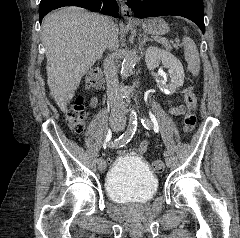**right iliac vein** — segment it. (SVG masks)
Segmentation results:
<instances>
[{
	"instance_id": "63e3f726",
	"label": "right iliac vein",
	"mask_w": 240,
	"mask_h": 238,
	"mask_svg": "<svg viewBox=\"0 0 240 238\" xmlns=\"http://www.w3.org/2000/svg\"><path fill=\"white\" fill-rule=\"evenodd\" d=\"M111 128L113 131L118 132L120 130H122V126L117 122V121H111ZM106 168V162L105 161H101L98 163V169L99 171H104Z\"/></svg>"
}]
</instances>
